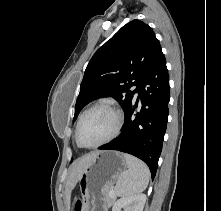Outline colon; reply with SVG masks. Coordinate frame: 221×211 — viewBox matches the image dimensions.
Masks as SVG:
<instances>
[{"mask_svg": "<svg viewBox=\"0 0 221 211\" xmlns=\"http://www.w3.org/2000/svg\"><path fill=\"white\" fill-rule=\"evenodd\" d=\"M75 210H76V211H81V210H82V205H81V203H80L79 201L76 203V208H75Z\"/></svg>", "mask_w": 221, "mask_h": 211, "instance_id": "colon-1", "label": "colon"}]
</instances>
